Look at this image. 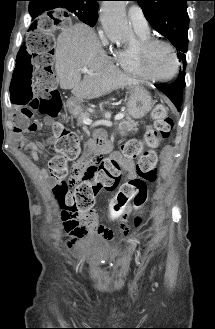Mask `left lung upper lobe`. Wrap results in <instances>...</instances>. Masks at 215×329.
Instances as JSON below:
<instances>
[{
	"instance_id": "5c2ea615",
	"label": "left lung upper lobe",
	"mask_w": 215,
	"mask_h": 329,
	"mask_svg": "<svg viewBox=\"0 0 215 329\" xmlns=\"http://www.w3.org/2000/svg\"><path fill=\"white\" fill-rule=\"evenodd\" d=\"M142 7L144 16L151 26L165 36L178 51L182 63L179 78L185 75L188 48L189 17L187 1L189 0H135Z\"/></svg>"
}]
</instances>
